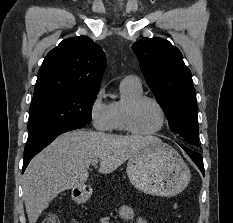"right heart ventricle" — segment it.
<instances>
[{"mask_svg":"<svg viewBox=\"0 0 233 223\" xmlns=\"http://www.w3.org/2000/svg\"><path fill=\"white\" fill-rule=\"evenodd\" d=\"M121 98L118 101L110 104L111 112V130L127 133L125 127L124 112L125 107L131 100L142 95L143 90L141 85L133 83H121L120 85Z\"/></svg>","mask_w":233,"mask_h":223,"instance_id":"obj_1","label":"right heart ventricle"}]
</instances>
